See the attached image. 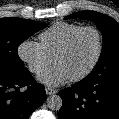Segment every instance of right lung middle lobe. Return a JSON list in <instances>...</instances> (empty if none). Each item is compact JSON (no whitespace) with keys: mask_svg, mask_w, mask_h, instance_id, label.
<instances>
[{"mask_svg":"<svg viewBox=\"0 0 119 119\" xmlns=\"http://www.w3.org/2000/svg\"><path fill=\"white\" fill-rule=\"evenodd\" d=\"M46 24L20 18L0 19V72L20 71L24 63L18 56V46Z\"/></svg>","mask_w":119,"mask_h":119,"instance_id":"1","label":"right lung middle lobe"}]
</instances>
